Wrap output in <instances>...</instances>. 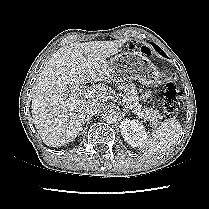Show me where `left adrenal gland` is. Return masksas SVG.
Returning a JSON list of instances; mask_svg holds the SVG:
<instances>
[{
  "label": "left adrenal gland",
  "instance_id": "left-adrenal-gland-1",
  "mask_svg": "<svg viewBox=\"0 0 209 209\" xmlns=\"http://www.w3.org/2000/svg\"><path fill=\"white\" fill-rule=\"evenodd\" d=\"M129 112V110L126 108V106L124 105L123 107V116H125V114Z\"/></svg>",
  "mask_w": 209,
  "mask_h": 209
}]
</instances>
